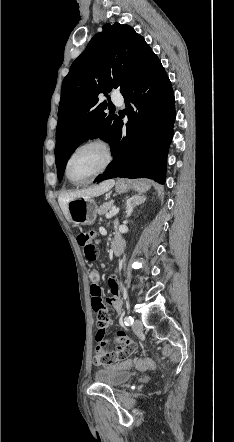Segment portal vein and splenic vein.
Returning <instances> with one entry per match:
<instances>
[{
  "mask_svg": "<svg viewBox=\"0 0 234 442\" xmlns=\"http://www.w3.org/2000/svg\"><path fill=\"white\" fill-rule=\"evenodd\" d=\"M118 212H119V208H113L110 212H108V213L106 214V218H107V219H110V218H112L113 216H115L116 214H118Z\"/></svg>",
  "mask_w": 234,
  "mask_h": 442,
  "instance_id": "1",
  "label": "portal vein and splenic vein"
}]
</instances>
